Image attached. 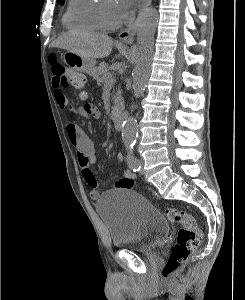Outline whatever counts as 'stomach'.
<instances>
[{"label": "stomach", "mask_w": 245, "mask_h": 300, "mask_svg": "<svg viewBox=\"0 0 245 300\" xmlns=\"http://www.w3.org/2000/svg\"><path fill=\"white\" fill-rule=\"evenodd\" d=\"M63 59L68 67L78 72L92 74L95 69L96 61L94 59L84 58L71 51L65 52Z\"/></svg>", "instance_id": "1"}]
</instances>
